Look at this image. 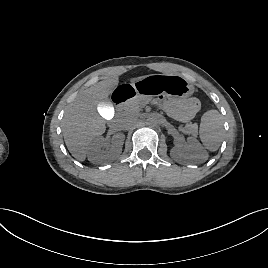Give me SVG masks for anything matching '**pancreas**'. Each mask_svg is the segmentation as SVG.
Listing matches in <instances>:
<instances>
[{
	"label": "pancreas",
	"instance_id": "obj_1",
	"mask_svg": "<svg viewBox=\"0 0 268 268\" xmlns=\"http://www.w3.org/2000/svg\"><path fill=\"white\" fill-rule=\"evenodd\" d=\"M153 102L152 98L149 96L138 95L132 100L125 102L121 106V111L124 114L130 113H138L142 110V108L147 105L148 103ZM197 125L196 124H187L185 127L182 125L179 126V130L186 134H193L196 132Z\"/></svg>",
	"mask_w": 268,
	"mask_h": 268
}]
</instances>
